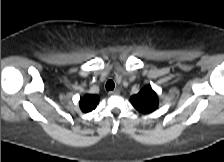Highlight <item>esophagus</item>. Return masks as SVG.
Listing matches in <instances>:
<instances>
[{
	"label": "esophagus",
	"mask_w": 224,
	"mask_h": 162,
	"mask_svg": "<svg viewBox=\"0 0 224 162\" xmlns=\"http://www.w3.org/2000/svg\"><path fill=\"white\" fill-rule=\"evenodd\" d=\"M119 93H120L119 89H115L113 91L108 92L109 95H116V94H119Z\"/></svg>",
	"instance_id": "esophagus-1"
}]
</instances>
